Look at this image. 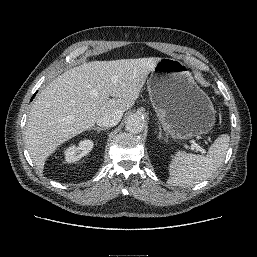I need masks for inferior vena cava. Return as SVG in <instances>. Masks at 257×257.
Returning a JSON list of instances; mask_svg holds the SVG:
<instances>
[{
  "label": "inferior vena cava",
  "mask_w": 257,
  "mask_h": 257,
  "mask_svg": "<svg viewBox=\"0 0 257 257\" xmlns=\"http://www.w3.org/2000/svg\"><path fill=\"white\" fill-rule=\"evenodd\" d=\"M123 113L118 109L103 112L98 116L96 123L101 127H113L119 123Z\"/></svg>",
  "instance_id": "inferior-vena-cava-1"
}]
</instances>
